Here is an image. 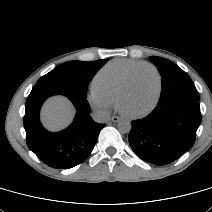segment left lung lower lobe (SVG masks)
I'll list each match as a JSON object with an SVG mask.
<instances>
[{
  "label": "left lung lower lobe",
  "instance_id": "0a47b994",
  "mask_svg": "<svg viewBox=\"0 0 212 212\" xmlns=\"http://www.w3.org/2000/svg\"><path fill=\"white\" fill-rule=\"evenodd\" d=\"M200 123L199 101L171 98L158 102L145 118L131 122L129 144L140 159L158 166L167 165L193 146Z\"/></svg>",
  "mask_w": 212,
  "mask_h": 212
}]
</instances>
